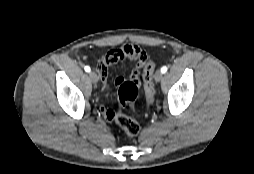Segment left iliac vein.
<instances>
[{"label": "left iliac vein", "mask_w": 254, "mask_h": 174, "mask_svg": "<svg viewBox=\"0 0 254 174\" xmlns=\"http://www.w3.org/2000/svg\"><path fill=\"white\" fill-rule=\"evenodd\" d=\"M163 79V73L160 70H157L154 74V80L160 82Z\"/></svg>", "instance_id": "1"}]
</instances>
